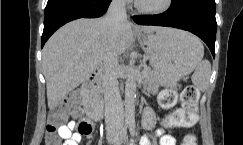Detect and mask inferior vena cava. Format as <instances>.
Listing matches in <instances>:
<instances>
[{
    "mask_svg": "<svg viewBox=\"0 0 243 145\" xmlns=\"http://www.w3.org/2000/svg\"><path fill=\"white\" fill-rule=\"evenodd\" d=\"M125 0H113L106 14L105 21L109 36L113 40L118 34L119 27L127 21ZM118 55L110 48L104 59L102 91L105 99V117L108 121L122 113V102L118 88ZM118 123H120L118 121Z\"/></svg>",
    "mask_w": 243,
    "mask_h": 145,
    "instance_id": "602c4592",
    "label": "inferior vena cava"
}]
</instances>
